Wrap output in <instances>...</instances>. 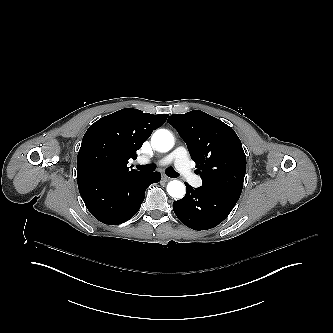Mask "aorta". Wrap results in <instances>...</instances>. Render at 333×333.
<instances>
[{
  "label": "aorta",
  "instance_id": "1",
  "mask_svg": "<svg viewBox=\"0 0 333 333\" xmlns=\"http://www.w3.org/2000/svg\"><path fill=\"white\" fill-rule=\"evenodd\" d=\"M151 142L157 151L167 152L172 149L174 139L168 130L159 129L153 134ZM167 192L174 198H182L185 195V186L179 180H172L167 184Z\"/></svg>",
  "mask_w": 333,
  "mask_h": 333
}]
</instances>
